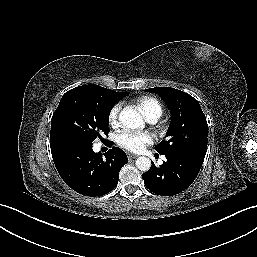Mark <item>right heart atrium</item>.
<instances>
[{
    "label": "right heart atrium",
    "mask_w": 257,
    "mask_h": 257,
    "mask_svg": "<svg viewBox=\"0 0 257 257\" xmlns=\"http://www.w3.org/2000/svg\"><path fill=\"white\" fill-rule=\"evenodd\" d=\"M121 106L120 104H115L108 113V121L112 126H117L119 124Z\"/></svg>",
    "instance_id": "1"
}]
</instances>
